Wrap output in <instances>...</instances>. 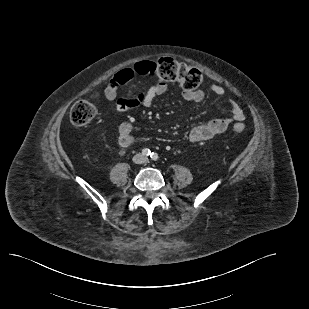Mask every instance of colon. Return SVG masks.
I'll use <instances>...</instances> for the list:
<instances>
[{
  "mask_svg": "<svg viewBox=\"0 0 309 309\" xmlns=\"http://www.w3.org/2000/svg\"><path fill=\"white\" fill-rule=\"evenodd\" d=\"M155 73L164 81L178 83L184 91H193L202 83L200 71L186 63L170 57L151 61ZM96 115L95 106L85 100L76 102L70 110V121L75 126H86ZM244 124L235 123L233 130L237 133L243 132Z\"/></svg>",
  "mask_w": 309,
  "mask_h": 309,
  "instance_id": "colon-1",
  "label": "colon"
}]
</instances>
